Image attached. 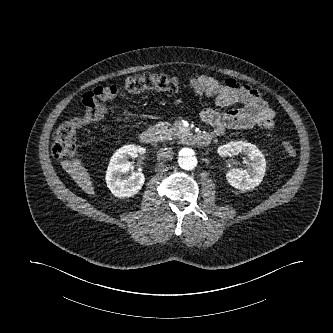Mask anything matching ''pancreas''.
<instances>
[{"label":"pancreas","instance_id":"cf45deb5","mask_svg":"<svg viewBox=\"0 0 333 333\" xmlns=\"http://www.w3.org/2000/svg\"><path fill=\"white\" fill-rule=\"evenodd\" d=\"M155 130L162 140H172L179 136L178 128L168 122H161L155 126Z\"/></svg>","mask_w":333,"mask_h":333}]
</instances>
